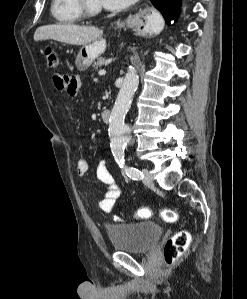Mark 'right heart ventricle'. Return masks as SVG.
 Wrapping results in <instances>:
<instances>
[{
    "instance_id": "e07e8e85",
    "label": "right heart ventricle",
    "mask_w": 247,
    "mask_h": 299,
    "mask_svg": "<svg viewBox=\"0 0 247 299\" xmlns=\"http://www.w3.org/2000/svg\"><path fill=\"white\" fill-rule=\"evenodd\" d=\"M50 11L53 19L60 24H75L83 18L77 0H52Z\"/></svg>"
}]
</instances>
